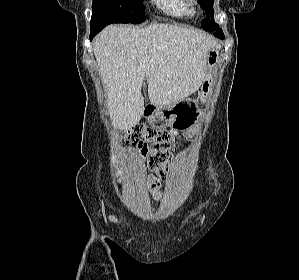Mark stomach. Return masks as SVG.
I'll list each match as a JSON object with an SVG mask.
<instances>
[{"label": "stomach", "mask_w": 299, "mask_h": 280, "mask_svg": "<svg viewBox=\"0 0 299 280\" xmlns=\"http://www.w3.org/2000/svg\"><path fill=\"white\" fill-rule=\"evenodd\" d=\"M217 61L218 52L215 49L210 50L206 61L205 80L199 91L200 98L204 99L209 94V72L212 70ZM197 103V100L185 98L170 105H148L145 109V115L147 116L150 125L156 129L172 127L174 129L183 130L189 128L194 123V105L196 106Z\"/></svg>", "instance_id": "obj_1"}]
</instances>
